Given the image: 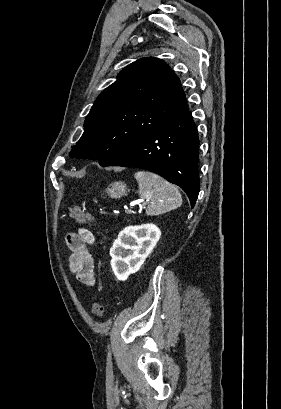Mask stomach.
Returning a JSON list of instances; mask_svg holds the SVG:
<instances>
[{
    "mask_svg": "<svg viewBox=\"0 0 281 409\" xmlns=\"http://www.w3.org/2000/svg\"><path fill=\"white\" fill-rule=\"evenodd\" d=\"M106 192L108 196H110V198H121V196H125V194H128L129 188L126 182L117 180V182H111V184H108Z\"/></svg>",
    "mask_w": 281,
    "mask_h": 409,
    "instance_id": "obj_1",
    "label": "stomach"
}]
</instances>
